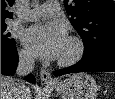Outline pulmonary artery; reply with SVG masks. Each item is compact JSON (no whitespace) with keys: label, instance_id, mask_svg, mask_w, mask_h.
<instances>
[{"label":"pulmonary artery","instance_id":"e3ab8cb5","mask_svg":"<svg viewBox=\"0 0 115 99\" xmlns=\"http://www.w3.org/2000/svg\"><path fill=\"white\" fill-rule=\"evenodd\" d=\"M60 12L59 4L56 1L46 2L36 8L29 10L24 16L23 20H37L46 17L58 15Z\"/></svg>","mask_w":115,"mask_h":99}]
</instances>
